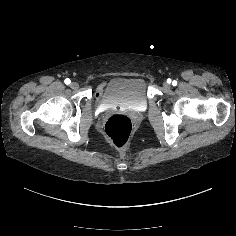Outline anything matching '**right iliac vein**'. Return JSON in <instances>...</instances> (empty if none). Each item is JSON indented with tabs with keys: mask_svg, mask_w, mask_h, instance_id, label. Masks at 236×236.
<instances>
[{
	"mask_svg": "<svg viewBox=\"0 0 236 236\" xmlns=\"http://www.w3.org/2000/svg\"><path fill=\"white\" fill-rule=\"evenodd\" d=\"M70 87H71L73 90H76V89H78L79 85H78V83H76V82H72V83L70 84Z\"/></svg>",
	"mask_w": 236,
	"mask_h": 236,
	"instance_id": "1",
	"label": "right iliac vein"
}]
</instances>
